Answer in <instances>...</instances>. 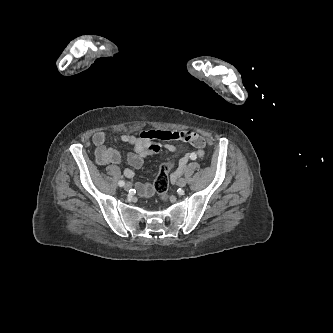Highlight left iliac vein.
Here are the masks:
<instances>
[{
    "label": "left iliac vein",
    "mask_w": 333,
    "mask_h": 333,
    "mask_svg": "<svg viewBox=\"0 0 333 333\" xmlns=\"http://www.w3.org/2000/svg\"><path fill=\"white\" fill-rule=\"evenodd\" d=\"M177 185L179 187H184L186 186V179L185 178H180L178 181H177Z\"/></svg>",
    "instance_id": "4c4485c4"
}]
</instances>
